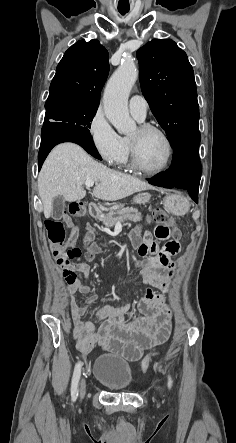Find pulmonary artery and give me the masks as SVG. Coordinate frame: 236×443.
<instances>
[{"mask_svg": "<svg viewBox=\"0 0 236 443\" xmlns=\"http://www.w3.org/2000/svg\"><path fill=\"white\" fill-rule=\"evenodd\" d=\"M148 103L141 95H133L129 100V110L133 117L143 121L147 115Z\"/></svg>", "mask_w": 236, "mask_h": 443, "instance_id": "obj_1", "label": "pulmonary artery"}]
</instances>
